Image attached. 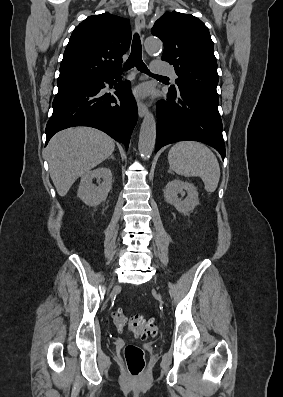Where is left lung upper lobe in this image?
<instances>
[{
    "label": "left lung upper lobe",
    "mask_w": 283,
    "mask_h": 397,
    "mask_svg": "<svg viewBox=\"0 0 283 397\" xmlns=\"http://www.w3.org/2000/svg\"><path fill=\"white\" fill-rule=\"evenodd\" d=\"M151 32L164 43L162 60L175 67L178 88L218 98L214 44L201 20L190 14L166 12L155 22Z\"/></svg>",
    "instance_id": "1"
}]
</instances>
